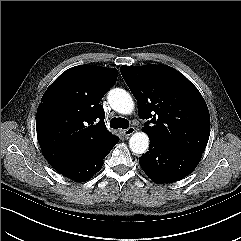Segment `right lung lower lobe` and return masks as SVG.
Here are the masks:
<instances>
[{"mask_svg":"<svg viewBox=\"0 0 241 241\" xmlns=\"http://www.w3.org/2000/svg\"><path fill=\"white\" fill-rule=\"evenodd\" d=\"M119 141V138L116 137L113 142L102 149L97 154L93 155L87 160H84L78 164L71 165L65 168L58 169L57 172L64 175L65 177L74 179L76 181H87L96 174L103 165V159L108 155L111 149Z\"/></svg>","mask_w":241,"mask_h":241,"instance_id":"98d812e1","label":"right lung lower lobe"}]
</instances>
